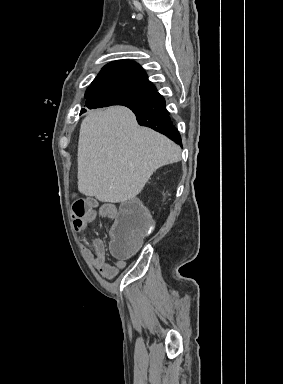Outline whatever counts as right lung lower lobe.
Masks as SVG:
<instances>
[{
  "instance_id": "right-lung-lower-lobe-1",
  "label": "right lung lower lobe",
  "mask_w": 283,
  "mask_h": 384,
  "mask_svg": "<svg viewBox=\"0 0 283 384\" xmlns=\"http://www.w3.org/2000/svg\"><path fill=\"white\" fill-rule=\"evenodd\" d=\"M128 108L135 113L139 125L150 127L182 146L181 136L169 116L164 98L160 94L156 101L149 106ZM83 112L85 110L80 114Z\"/></svg>"
}]
</instances>
